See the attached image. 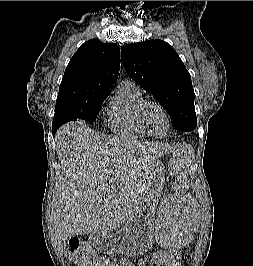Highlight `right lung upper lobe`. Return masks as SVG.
I'll use <instances>...</instances> for the list:
<instances>
[{"instance_id":"right-lung-upper-lobe-1","label":"right lung upper lobe","mask_w":253,"mask_h":266,"mask_svg":"<svg viewBox=\"0 0 253 266\" xmlns=\"http://www.w3.org/2000/svg\"><path fill=\"white\" fill-rule=\"evenodd\" d=\"M120 69V49L114 43L91 39L71 58L59 87L56 102L81 101L109 94Z\"/></svg>"}]
</instances>
